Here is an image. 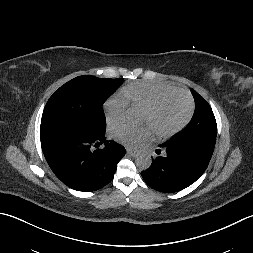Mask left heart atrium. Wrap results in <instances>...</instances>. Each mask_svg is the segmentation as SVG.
I'll use <instances>...</instances> for the list:
<instances>
[{
	"label": "left heart atrium",
	"instance_id": "1",
	"mask_svg": "<svg viewBox=\"0 0 253 253\" xmlns=\"http://www.w3.org/2000/svg\"><path fill=\"white\" fill-rule=\"evenodd\" d=\"M111 133L119 143L134 147L152 137V128L148 124L141 126L116 125L112 128Z\"/></svg>",
	"mask_w": 253,
	"mask_h": 253
}]
</instances>
